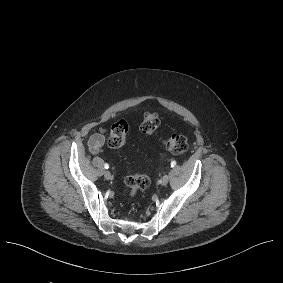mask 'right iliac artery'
<instances>
[{
    "label": "right iliac artery",
    "instance_id": "obj_1",
    "mask_svg": "<svg viewBox=\"0 0 283 283\" xmlns=\"http://www.w3.org/2000/svg\"><path fill=\"white\" fill-rule=\"evenodd\" d=\"M104 167H105V169H108V168H109V165L106 163V164L104 165Z\"/></svg>",
    "mask_w": 283,
    "mask_h": 283
}]
</instances>
